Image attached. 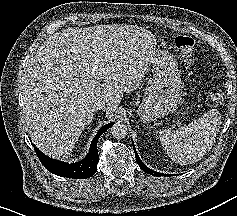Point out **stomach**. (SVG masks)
Wrapping results in <instances>:
<instances>
[{
    "mask_svg": "<svg viewBox=\"0 0 237 216\" xmlns=\"http://www.w3.org/2000/svg\"><path fill=\"white\" fill-rule=\"evenodd\" d=\"M165 68L161 75L156 74L144 93V98L137 110L139 118L143 122L173 113L181 102V81L179 74L172 63L163 54Z\"/></svg>",
    "mask_w": 237,
    "mask_h": 216,
    "instance_id": "0dacf381",
    "label": "stomach"
}]
</instances>
